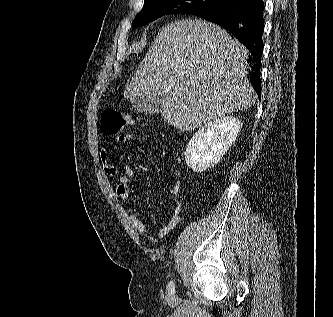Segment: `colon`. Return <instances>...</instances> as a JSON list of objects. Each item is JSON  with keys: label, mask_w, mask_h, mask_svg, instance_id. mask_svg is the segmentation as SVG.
I'll use <instances>...</instances> for the list:
<instances>
[{"label": "colon", "mask_w": 333, "mask_h": 317, "mask_svg": "<svg viewBox=\"0 0 333 317\" xmlns=\"http://www.w3.org/2000/svg\"><path fill=\"white\" fill-rule=\"evenodd\" d=\"M134 118L131 114L115 106L106 108L101 117V131L108 136L121 134L132 126Z\"/></svg>", "instance_id": "obj_1"}]
</instances>
